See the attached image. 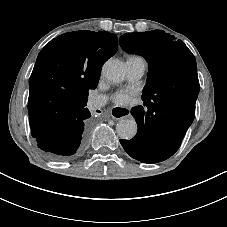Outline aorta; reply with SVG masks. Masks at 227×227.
<instances>
[{
	"label": "aorta",
	"mask_w": 227,
	"mask_h": 227,
	"mask_svg": "<svg viewBox=\"0 0 227 227\" xmlns=\"http://www.w3.org/2000/svg\"><path fill=\"white\" fill-rule=\"evenodd\" d=\"M102 74L109 81L120 83L125 78L126 69L120 60L110 58L104 63ZM116 130L121 139L130 140L137 133V124L134 119H122L117 123Z\"/></svg>",
	"instance_id": "obj_1"
}]
</instances>
